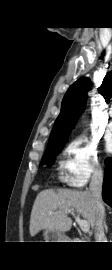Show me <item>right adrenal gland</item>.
Instances as JSON below:
<instances>
[{
	"mask_svg": "<svg viewBox=\"0 0 112 270\" xmlns=\"http://www.w3.org/2000/svg\"><path fill=\"white\" fill-rule=\"evenodd\" d=\"M104 227H105L106 232H108V227H107L106 219L104 220Z\"/></svg>",
	"mask_w": 112,
	"mask_h": 270,
	"instance_id": "obj_1",
	"label": "right adrenal gland"
}]
</instances>
